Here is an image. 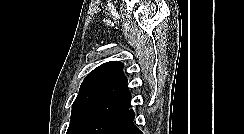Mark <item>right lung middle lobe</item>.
<instances>
[{"label":"right lung middle lobe","instance_id":"1","mask_svg":"<svg viewBox=\"0 0 244 134\" xmlns=\"http://www.w3.org/2000/svg\"><path fill=\"white\" fill-rule=\"evenodd\" d=\"M130 101H91L72 109L67 134H106L129 109Z\"/></svg>","mask_w":244,"mask_h":134}]
</instances>
